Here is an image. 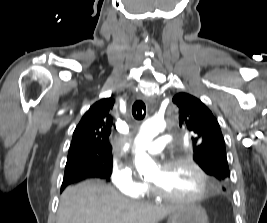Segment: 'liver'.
I'll return each mask as SVG.
<instances>
[{
	"label": "liver",
	"mask_w": 267,
	"mask_h": 223,
	"mask_svg": "<svg viewBox=\"0 0 267 223\" xmlns=\"http://www.w3.org/2000/svg\"><path fill=\"white\" fill-rule=\"evenodd\" d=\"M176 208L129 200L101 180H86L62 193L57 223H158Z\"/></svg>",
	"instance_id": "liver-1"
}]
</instances>
